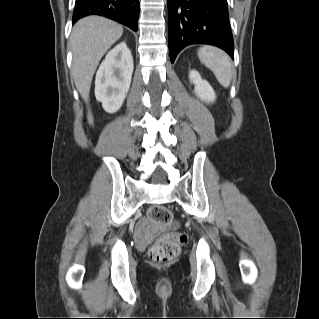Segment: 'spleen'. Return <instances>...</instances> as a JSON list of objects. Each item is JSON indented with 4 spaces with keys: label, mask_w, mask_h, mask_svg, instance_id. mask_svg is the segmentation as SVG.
<instances>
[{
    "label": "spleen",
    "mask_w": 319,
    "mask_h": 319,
    "mask_svg": "<svg viewBox=\"0 0 319 319\" xmlns=\"http://www.w3.org/2000/svg\"><path fill=\"white\" fill-rule=\"evenodd\" d=\"M200 61L213 71L218 82L228 87L232 79V68L228 56L220 49L204 46L198 50Z\"/></svg>",
    "instance_id": "1"
}]
</instances>
